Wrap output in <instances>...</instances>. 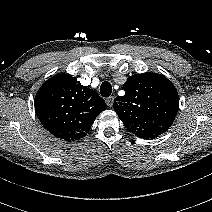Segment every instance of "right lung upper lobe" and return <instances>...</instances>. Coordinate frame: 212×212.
<instances>
[{
  "mask_svg": "<svg viewBox=\"0 0 212 212\" xmlns=\"http://www.w3.org/2000/svg\"><path fill=\"white\" fill-rule=\"evenodd\" d=\"M35 111L42 125L55 137L76 141L86 136L105 101L69 74L48 79L35 97Z\"/></svg>",
  "mask_w": 212,
  "mask_h": 212,
  "instance_id": "1",
  "label": "right lung upper lobe"
}]
</instances>
